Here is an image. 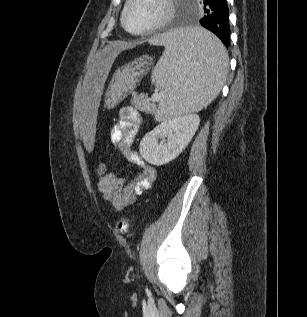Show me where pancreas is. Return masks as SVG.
<instances>
[{"label":"pancreas","mask_w":307,"mask_h":317,"mask_svg":"<svg viewBox=\"0 0 307 317\" xmlns=\"http://www.w3.org/2000/svg\"><path fill=\"white\" fill-rule=\"evenodd\" d=\"M140 104L142 105L141 110L146 112H155V105L150 102V99L144 98L141 100Z\"/></svg>","instance_id":"pancreas-1"}]
</instances>
